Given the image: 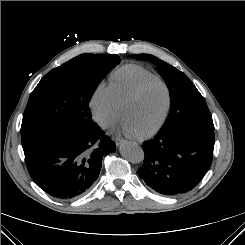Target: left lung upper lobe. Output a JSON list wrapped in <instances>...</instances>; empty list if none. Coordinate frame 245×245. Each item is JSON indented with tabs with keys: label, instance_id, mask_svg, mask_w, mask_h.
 <instances>
[{
	"label": "left lung upper lobe",
	"instance_id": "5c2ea615",
	"mask_svg": "<svg viewBox=\"0 0 245 245\" xmlns=\"http://www.w3.org/2000/svg\"><path fill=\"white\" fill-rule=\"evenodd\" d=\"M132 58L155 63L158 73L168 86L171 106L160 131H167L181 122H193L214 129L212 116L203 96L183 72L150 54H135Z\"/></svg>",
	"mask_w": 245,
	"mask_h": 245
}]
</instances>
